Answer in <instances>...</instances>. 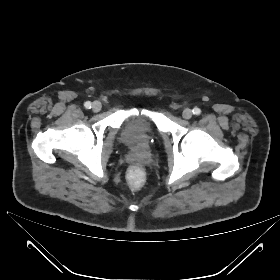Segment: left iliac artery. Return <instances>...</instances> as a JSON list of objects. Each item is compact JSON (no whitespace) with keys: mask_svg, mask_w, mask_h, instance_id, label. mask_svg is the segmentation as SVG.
Returning a JSON list of instances; mask_svg holds the SVG:
<instances>
[{"mask_svg":"<svg viewBox=\"0 0 280 280\" xmlns=\"http://www.w3.org/2000/svg\"><path fill=\"white\" fill-rule=\"evenodd\" d=\"M193 114L194 115H199L201 113V110L197 107H195L193 110H192Z\"/></svg>","mask_w":280,"mask_h":280,"instance_id":"obj_1","label":"left iliac artery"}]
</instances>
